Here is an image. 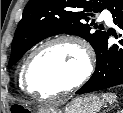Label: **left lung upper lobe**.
Here are the masks:
<instances>
[{"label": "left lung upper lobe", "instance_id": "5c2ea615", "mask_svg": "<svg viewBox=\"0 0 123 113\" xmlns=\"http://www.w3.org/2000/svg\"><path fill=\"white\" fill-rule=\"evenodd\" d=\"M110 0H30L23 11L12 43L8 67L43 39L61 34L78 35L89 41L95 51L107 33L103 26L92 31L95 12L107 8ZM97 28V25H94Z\"/></svg>", "mask_w": 123, "mask_h": 113}]
</instances>
